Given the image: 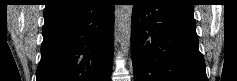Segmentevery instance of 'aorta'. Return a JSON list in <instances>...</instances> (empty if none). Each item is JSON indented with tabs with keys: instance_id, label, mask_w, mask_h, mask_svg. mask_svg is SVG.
I'll list each match as a JSON object with an SVG mask.
<instances>
[{
	"instance_id": "aorta-1",
	"label": "aorta",
	"mask_w": 237,
	"mask_h": 81,
	"mask_svg": "<svg viewBox=\"0 0 237 81\" xmlns=\"http://www.w3.org/2000/svg\"><path fill=\"white\" fill-rule=\"evenodd\" d=\"M132 9V5H118L116 8L118 40L124 56H128L131 47Z\"/></svg>"
}]
</instances>
